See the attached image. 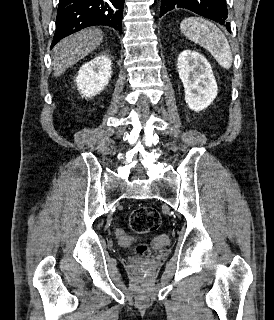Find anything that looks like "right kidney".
<instances>
[{
    "label": "right kidney",
    "instance_id": "ca27d5eb",
    "mask_svg": "<svg viewBox=\"0 0 274 320\" xmlns=\"http://www.w3.org/2000/svg\"><path fill=\"white\" fill-rule=\"evenodd\" d=\"M112 62L107 54H99L94 60L81 66L75 80L82 98H92L108 86Z\"/></svg>",
    "mask_w": 274,
    "mask_h": 320
}]
</instances>
